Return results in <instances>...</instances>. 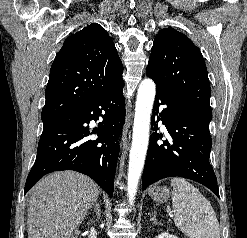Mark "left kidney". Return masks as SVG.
Returning <instances> with one entry per match:
<instances>
[{
    "mask_svg": "<svg viewBox=\"0 0 247 238\" xmlns=\"http://www.w3.org/2000/svg\"><path fill=\"white\" fill-rule=\"evenodd\" d=\"M155 238H178V237L175 235H169L168 233L165 232L156 236Z\"/></svg>",
    "mask_w": 247,
    "mask_h": 238,
    "instance_id": "obj_1",
    "label": "left kidney"
}]
</instances>
